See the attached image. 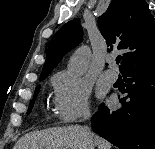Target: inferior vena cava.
I'll return each mask as SVG.
<instances>
[{
  "label": "inferior vena cava",
  "instance_id": "inferior-vena-cava-1",
  "mask_svg": "<svg viewBox=\"0 0 155 149\" xmlns=\"http://www.w3.org/2000/svg\"><path fill=\"white\" fill-rule=\"evenodd\" d=\"M89 117H90V114H85V115H84V119H88ZM86 129H87L88 131H90L88 127H86Z\"/></svg>",
  "mask_w": 155,
  "mask_h": 149
}]
</instances>
